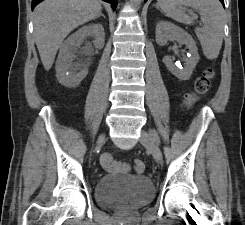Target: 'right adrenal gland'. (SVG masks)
<instances>
[{"label": "right adrenal gland", "mask_w": 245, "mask_h": 225, "mask_svg": "<svg viewBox=\"0 0 245 225\" xmlns=\"http://www.w3.org/2000/svg\"><path fill=\"white\" fill-rule=\"evenodd\" d=\"M101 16L104 17V18H106L105 15L102 14V13H100V14L97 16V18H99V17H101Z\"/></svg>", "instance_id": "right-adrenal-gland-1"}]
</instances>
